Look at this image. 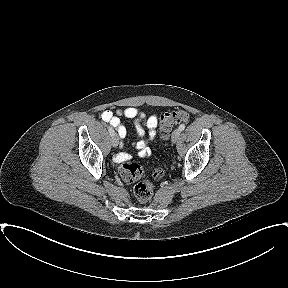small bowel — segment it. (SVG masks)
I'll return each instance as SVG.
<instances>
[{"instance_id": "small-bowel-1", "label": "small bowel", "mask_w": 288, "mask_h": 288, "mask_svg": "<svg viewBox=\"0 0 288 288\" xmlns=\"http://www.w3.org/2000/svg\"><path fill=\"white\" fill-rule=\"evenodd\" d=\"M120 117L135 119V129L139 137V140L134 143V147L137 150V156L140 158L150 156L151 149L149 144H151L156 137V127L158 124L157 116L148 115L137 107L118 109L115 113L110 110L103 111L101 113V119L104 122L109 123L117 131L120 138H124L127 135V130L121 122ZM131 158V154L127 152H121L116 156L117 162H124Z\"/></svg>"}]
</instances>
